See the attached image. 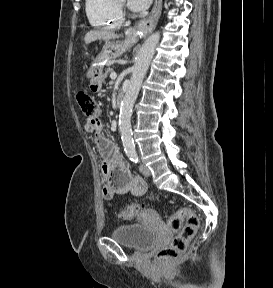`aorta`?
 Instances as JSON below:
<instances>
[{
  "label": "aorta",
  "instance_id": "obj_1",
  "mask_svg": "<svg viewBox=\"0 0 273 288\" xmlns=\"http://www.w3.org/2000/svg\"><path fill=\"white\" fill-rule=\"evenodd\" d=\"M159 40L160 33L155 32L142 44L132 69L129 87L121 103L119 129L123 147L127 155H134L136 153L131 130L132 109L140 91L143 79L149 68L150 62L155 54V48L159 43Z\"/></svg>",
  "mask_w": 273,
  "mask_h": 288
}]
</instances>
